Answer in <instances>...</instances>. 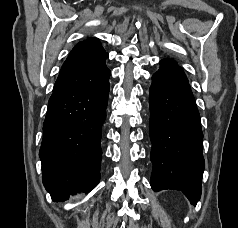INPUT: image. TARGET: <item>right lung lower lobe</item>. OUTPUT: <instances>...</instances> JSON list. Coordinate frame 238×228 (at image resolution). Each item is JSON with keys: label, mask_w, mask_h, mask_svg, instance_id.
<instances>
[{"label": "right lung lower lobe", "mask_w": 238, "mask_h": 228, "mask_svg": "<svg viewBox=\"0 0 238 228\" xmlns=\"http://www.w3.org/2000/svg\"><path fill=\"white\" fill-rule=\"evenodd\" d=\"M109 76L107 68L96 82L55 91L49 99L39 155L43 184L54 201L90 192L99 182Z\"/></svg>", "instance_id": "1"}]
</instances>
